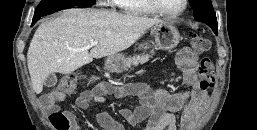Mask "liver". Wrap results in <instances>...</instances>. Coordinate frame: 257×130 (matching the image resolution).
<instances>
[{"mask_svg":"<svg viewBox=\"0 0 257 130\" xmlns=\"http://www.w3.org/2000/svg\"><path fill=\"white\" fill-rule=\"evenodd\" d=\"M162 22L159 18L106 10H65L57 18L41 23L31 40L27 64L33 90L41 93L50 74H70L94 58L126 50L149 28ZM91 41L98 44L88 52L85 47Z\"/></svg>","mask_w":257,"mask_h":130,"instance_id":"liver-1","label":"liver"}]
</instances>
